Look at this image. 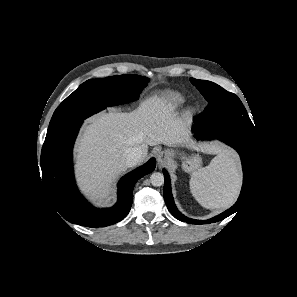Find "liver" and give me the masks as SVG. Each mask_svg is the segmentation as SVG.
I'll return each mask as SVG.
<instances>
[{
    "instance_id": "1",
    "label": "liver",
    "mask_w": 297,
    "mask_h": 297,
    "mask_svg": "<svg viewBox=\"0 0 297 297\" xmlns=\"http://www.w3.org/2000/svg\"><path fill=\"white\" fill-rule=\"evenodd\" d=\"M190 130L173 108L158 96L144 100L132 112L110 109L87 122L76 145V171L81 189L91 199H109L116 176L127 169L126 156L139 147L164 144L192 148Z\"/></svg>"
}]
</instances>
